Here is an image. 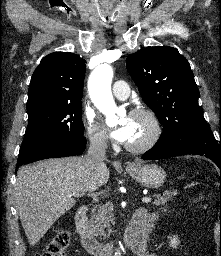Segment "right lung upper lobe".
Segmentation results:
<instances>
[{"mask_svg": "<svg viewBox=\"0 0 221 256\" xmlns=\"http://www.w3.org/2000/svg\"><path fill=\"white\" fill-rule=\"evenodd\" d=\"M85 62L71 52L44 57L30 81L27 109L45 104L82 103Z\"/></svg>", "mask_w": 221, "mask_h": 256, "instance_id": "obj_1", "label": "right lung upper lobe"}]
</instances>
